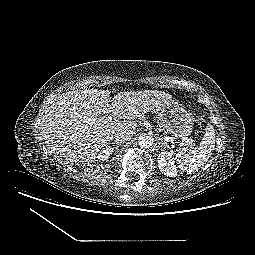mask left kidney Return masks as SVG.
Masks as SVG:
<instances>
[{"label": "left kidney", "instance_id": "obj_1", "mask_svg": "<svg viewBox=\"0 0 255 255\" xmlns=\"http://www.w3.org/2000/svg\"><path fill=\"white\" fill-rule=\"evenodd\" d=\"M160 171L169 177H175L178 173L172 153L162 151L157 158Z\"/></svg>", "mask_w": 255, "mask_h": 255}]
</instances>
